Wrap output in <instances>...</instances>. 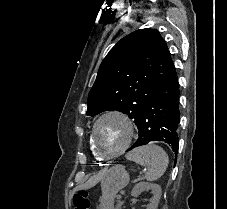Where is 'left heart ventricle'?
<instances>
[{
    "label": "left heart ventricle",
    "instance_id": "1",
    "mask_svg": "<svg viewBox=\"0 0 227 209\" xmlns=\"http://www.w3.org/2000/svg\"><path fill=\"white\" fill-rule=\"evenodd\" d=\"M129 127L120 118L108 116L102 119L95 130V140L102 154L117 151L127 141Z\"/></svg>",
    "mask_w": 227,
    "mask_h": 209
}]
</instances>
